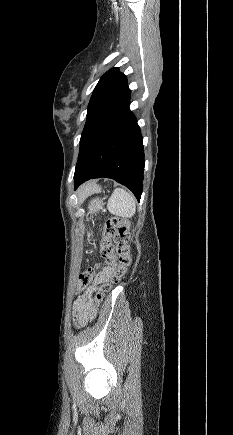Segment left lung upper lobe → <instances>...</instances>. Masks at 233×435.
I'll return each instance as SVG.
<instances>
[{
  "label": "left lung upper lobe",
  "mask_w": 233,
  "mask_h": 435,
  "mask_svg": "<svg viewBox=\"0 0 233 435\" xmlns=\"http://www.w3.org/2000/svg\"><path fill=\"white\" fill-rule=\"evenodd\" d=\"M130 94L126 76L117 67L100 78L88 105L79 156L108 124L129 110Z\"/></svg>",
  "instance_id": "obj_1"
}]
</instances>
